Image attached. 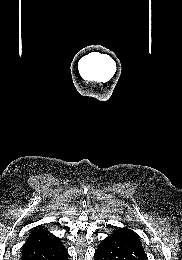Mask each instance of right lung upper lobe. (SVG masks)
Instances as JSON below:
<instances>
[{
    "label": "right lung upper lobe",
    "instance_id": "obj_1",
    "mask_svg": "<svg viewBox=\"0 0 182 260\" xmlns=\"http://www.w3.org/2000/svg\"><path fill=\"white\" fill-rule=\"evenodd\" d=\"M58 240L59 239L57 237L49 235L46 231H44L41 228L34 229L31 231V234L27 239L26 243L24 244L22 250L32 246L44 244L47 242L58 241Z\"/></svg>",
    "mask_w": 182,
    "mask_h": 260
}]
</instances>
